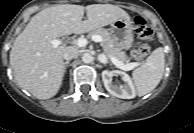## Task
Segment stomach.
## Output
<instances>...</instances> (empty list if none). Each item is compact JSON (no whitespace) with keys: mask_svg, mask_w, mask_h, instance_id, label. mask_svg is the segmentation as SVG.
<instances>
[{"mask_svg":"<svg viewBox=\"0 0 194 133\" xmlns=\"http://www.w3.org/2000/svg\"><path fill=\"white\" fill-rule=\"evenodd\" d=\"M116 44L124 50L131 48L133 43V25L130 18H120L111 24L109 29Z\"/></svg>","mask_w":194,"mask_h":133,"instance_id":"0dacf381","label":"stomach"}]
</instances>
